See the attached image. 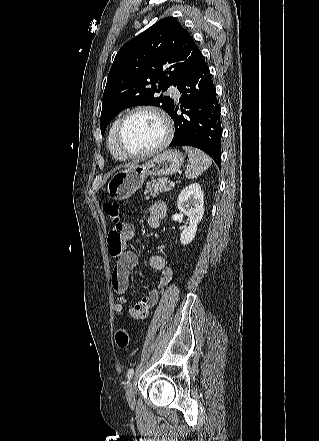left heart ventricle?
Segmentation results:
<instances>
[{"mask_svg":"<svg viewBox=\"0 0 319 441\" xmlns=\"http://www.w3.org/2000/svg\"><path fill=\"white\" fill-rule=\"evenodd\" d=\"M164 136L160 119L149 112L131 115L121 130L122 146L130 152H142L155 147Z\"/></svg>","mask_w":319,"mask_h":441,"instance_id":"1","label":"left heart ventricle"}]
</instances>
